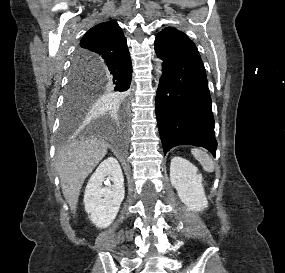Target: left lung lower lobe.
I'll use <instances>...</instances> for the list:
<instances>
[{"mask_svg": "<svg viewBox=\"0 0 285 273\" xmlns=\"http://www.w3.org/2000/svg\"><path fill=\"white\" fill-rule=\"evenodd\" d=\"M155 51L163 60L156 117L164 154L176 145L189 144L215 156L212 102L197 47L183 32L169 30L157 35Z\"/></svg>", "mask_w": 285, "mask_h": 273, "instance_id": "1", "label": "left lung lower lobe"}]
</instances>
